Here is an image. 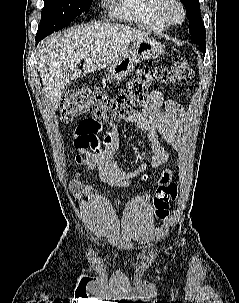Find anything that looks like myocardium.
I'll list each match as a JSON object with an SVG mask.
<instances>
[{"label":"myocardium","mask_w":239,"mask_h":303,"mask_svg":"<svg viewBox=\"0 0 239 303\" xmlns=\"http://www.w3.org/2000/svg\"><path fill=\"white\" fill-rule=\"evenodd\" d=\"M173 9L176 10V15L173 14ZM158 11L160 16L169 25H179L183 23L186 18V10L180 0H162Z\"/></svg>","instance_id":"obj_1"}]
</instances>
